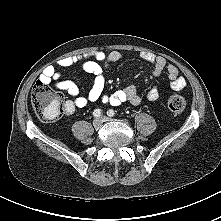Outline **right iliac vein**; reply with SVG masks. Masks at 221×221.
<instances>
[{"label":"right iliac vein","mask_w":221,"mask_h":221,"mask_svg":"<svg viewBox=\"0 0 221 221\" xmlns=\"http://www.w3.org/2000/svg\"><path fill=\"white\" fill-rule=\"evenodd\" d=\"M103 120L101 118H96L93 120V126L95 129H99L102 126Z\"/></svg>","instance_id":"63e3f726"}]
</instances>
